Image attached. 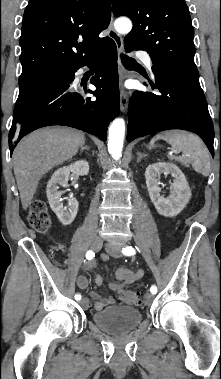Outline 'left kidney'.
<instances>
[{
  "label": "left kidney",
  "instance_id": "1",
  "mask_svg": "<svg viewBox=\"0 0 221 379\" xmlns=\"http://www.w3.org/2000/svg\"><path fill=\"white\" fill-rule=\"evenodd\" d=\"M160 174H171L172 177H174L168 198H164L160 195ZM145 178L150 199L160 215L174 217L188 204L191 197V190L185 175L176 165L165 162L151 164L146 168Z\"/></svg>",
  "mask_w": 221,
  "mask_h": 379
}]
</instances>
